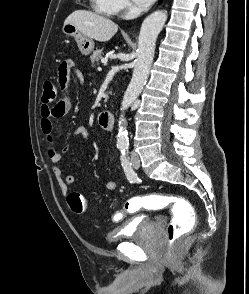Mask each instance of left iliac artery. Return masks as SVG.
<instances>
[{"label": "left iliac artery", "mask_w": 249, "mask_h": 294, "mask_svg": "<svg viewBox=\"0 0 249 294\" xmlns=\"http://www.w3.org/2000/svg\"><path fill=\"white\" fill-rule=\"evenodd\" d=\"M120 159H121V164L124 169V172L127 176V179L130 181V183L137 182L139 179L137 177V174L133 171L131 163L129 162V158L127 155V148H124L121 150Z\"/></svg>", "instance_id": "44dca946"}]
</instances>
